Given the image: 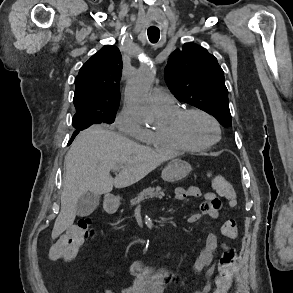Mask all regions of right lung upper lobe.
I'll return each mask as SVG.
<instances>
[{
  "instance_id": "1",
  "label": "right lung upper lobe",
  "mask_w": 293,
  "mask_h": 293,
  "mask_svg": "<svg viewBox=\"0 0 293 293\" xmlns=\"http://www.w3.org/2000/svg\"><path fill=\"white\" fill-rule=\"evenodd\" d=\"M122 66L121 53L114 45H106L92 56L75 79V108L95 112L117 110Z\"/></svg>"
}]
</instances>
